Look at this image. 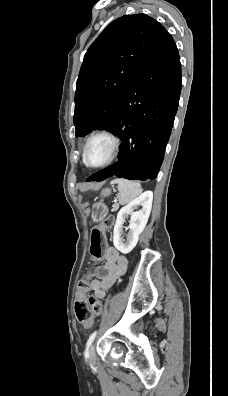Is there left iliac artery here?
Listing matches in <instances>:
<instances>
[{
    "mask_svg": "<svg viewBox=\"0 0 228 396\" xmlns=\"http://www.w3.org/2000/svg\"><path fill=\"white\" fill-rule=\"evenodd\" d=\"M97 331H94L90 336L86 344L85 356L88 357L89 355V347L92 344L93 340L95 339Z\"/></svg>",
    "mask_w": 228,
    "mask_h": 396,
    "instance_id": "1",
    "label": "left iliac artery"
}]
</instances>
